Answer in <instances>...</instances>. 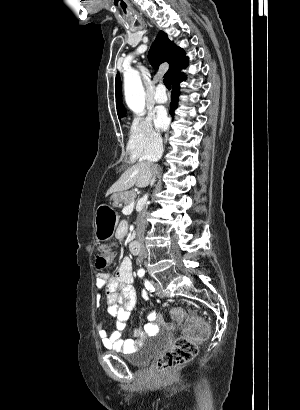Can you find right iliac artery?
Instances as JSON below:
<instances>
[{"instance_id":"right-iliac-artery-1","label":"right iliac artery","mask_w":300,"mask_h":410,"mask_svg":"<svg viewBox=\"0 0 300 410\" xmlns=\"http://www.w3.org/2000/svg\"><path fill=\"white\" fill-rule=\"evenodd\" d=\"M144 274H145L144 271H139V272H138V276L141 277V278L144 276Z\"/></svg>"}]
</instances>
